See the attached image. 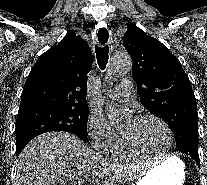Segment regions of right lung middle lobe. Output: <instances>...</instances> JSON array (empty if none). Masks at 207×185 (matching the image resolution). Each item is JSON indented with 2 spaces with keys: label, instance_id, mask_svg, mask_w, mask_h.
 <instances>
[{
  "label": "right lung middle lobe",
  "instance_id": "obj_1",
  "mask_svg": "<svg viewBox=\"0 0 207 185\" xmlns=\"http://www.w3.org/2000/svg\"><path fill=\"white\" fill-rule=\"evenodd\" d=\"M89 111L61 108H29L18 111L16 120V154L34 137L50 131H65L87 140Z\"/></svg>",
  "mask_w": 207,
  "mask_h": 185
}]
</instances>
